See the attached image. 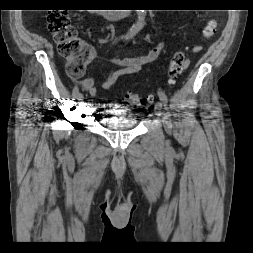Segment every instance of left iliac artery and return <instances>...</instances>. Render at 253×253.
I'll use <instances>...</instances> for the list:
<instances>
[{"mask_svg": "<svg viewBox=\"0 0 253 253\" xmlns=\"http://www.w3.org/2000/svg\"><path fill=\"white\" fill-rule=\"evenodd\" d=\"M158 96L163 104H167L168 99H167V96L163 92L159 91Z\"/></svg>", "mask_w": 253, "mask_h": 253, "instance_id": "1", "label": "left iliac artery"}]
</instances>
